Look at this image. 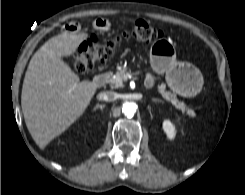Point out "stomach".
Masks as SVG:
<instances>
[{"label": "stomach", "mask_w": 245, "mask_h": 195, "mask_svg": "<svg viewBox=\"0 0 245 195\" xmlns=\"http://www.w3.org/2000/svg\"><path fill=\"white\" fill-rule=\"evenodd\" d=\"M152 69L166 75L171 90L184 97L197 95L203 86L200 71L191 64L176 60L174 45L165 39L154 42L150 49Z\"/></svg>", "instance_id": "1"}]
</instances>
